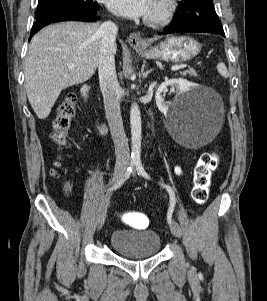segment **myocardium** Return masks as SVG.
Instances as JSON below:
<instances>
[{
    "mask_svg": "<svg viewBox=\"0 0 267 301\" xmlns=\"http://www.w3.org/2000/svg\"><path fill=\"white\" fill-rule=\"evenodd\" d=\"M155 11L145 18V23L152 26H160L169 23L178 10L177 0H154Z\"/></svg>",
    "mask_w": 267,
    "mask_h": 301,
    "instance_id": "myocardium-1",
    "label": "myocardium"
}]
</instances>
